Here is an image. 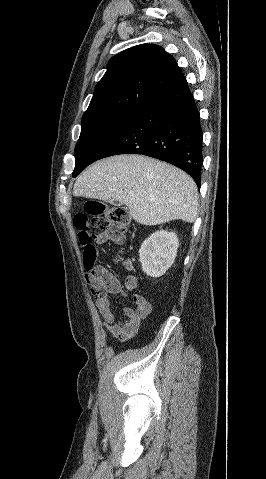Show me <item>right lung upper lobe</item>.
<instances>
[{"mask_svg":"<svg viewBox=\"0 0 266 479\" xmlns=\"http://www.w3.org/2000/svg\"><path fill=\"white\" fill-rule=\"evenodd\" d=\"M184 83L186 79L177 62L162 47H131L111 58L82 118L117 109L142 110Z\"/></svg>","mask_w":266,"mask_h":479,"instance_id":"obj_1","label":"right lung upper lobe"}]
</instances>
